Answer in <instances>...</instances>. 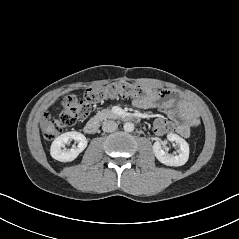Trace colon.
I'll list each match as a JSON object with an SVG mask.
<instances>
[{
  "mask_svg": "<svg viewBox=\"0 0 239 239\" xmlns=\"http://www.w3.org/2000/svg\"><path fill=\"white\" fill-rule=\"evenodd\" d=\"M116 96L145 98L149 96V92L136 83L116 82L86 90L83 99L73 94L68 95L63 100L57 118H51L47 113L43 114L41 122L44 137L49 140L55 138L67 127L86 118L90 113L91 105ZM151 128L159 137H164L171 131L168 120L161 117L154 120Z\"/></svg>",
  "mask_w": 239,
  "mask_h": 239,
  "instance_id": "obj_1",
  "label": "colon"
}]
</instances>
